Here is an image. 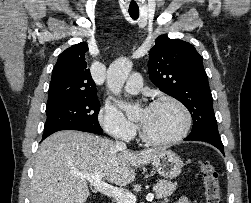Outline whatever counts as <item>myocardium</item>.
I'll use <instances>...</instances> for the list:
<instances>
[{
    "label": "myocardium",
    "mask_w": 251,
    "mask_h": 203,
    "mask_svg": "<svg viewBox=\"0 0 251 203\" xmlns=\"http://www.w3.org/2000/svg\"><path fill=\"white\" fill-rule=\"evenodd\" d=\"M162 104H173L179 108V110L182 112L183 118H184L183 126L178 134H176L175 136H173L171 138L163 139V140H157V139L150 138L144 132L142 127L140 126V128H139L140 138L142 139L143 142H145L148 145L168 146V145L176 144V143L180 142L181 140H183L188 135L189 130L191 128L192 116H191L189 109L187 108V106L183 102H181L180 100H178L174 97L167 96V97H162V98L154 100L150 106H158V105H162Z\"/></svg>",
    "instance_id": "1"
}]
</instances>
